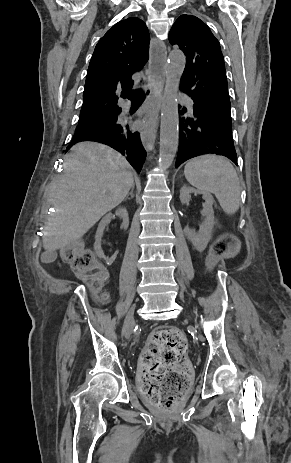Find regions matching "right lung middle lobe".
<instances>
[{"mask_svg": "<svg viewBox=\"0 0 291 463\" xmlns=\"http://www.w3.org/2000/svg\"><path fill=\"white\" fill-rule=\"evenodd\" d=\"M116 117V113L105 114L97 118L79 120L76 131H81Z\"/></svg>", "mask_w": 291, "mask_h": 463, "instance_id": "dd1d6c3e", "label": "right lung middle lobe"}]
</instances>
